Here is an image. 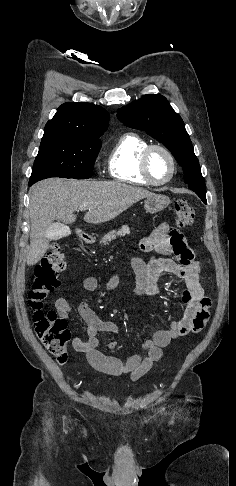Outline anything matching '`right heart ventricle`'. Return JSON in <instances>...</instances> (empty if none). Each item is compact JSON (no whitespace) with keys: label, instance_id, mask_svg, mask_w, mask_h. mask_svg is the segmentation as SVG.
I'll return each mask as SVG.
<instances>
[{"label":"right heart ventricle","instance_id":"1","mask_svg":"<svg viewBox=\"0 0 236 486\" xmlns=\"http://www.w3.org/2000/svg\"><path fill=\"white\" fill-rule=\"evenodd\" d=\"M148 145V141L136 133L123 134L109 153L108 166L111 176L132 185H148L140 172L141 153Z\"/></svg>","mask_w":236,"mask_h":486}]
</instances>
